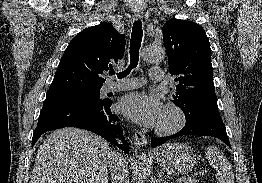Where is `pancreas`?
<instances>
[{
	"mask_svg": "<svg viewBox=\"0 0 262 183\" xmlns=\"http://www.w3.org/2000/svg\"><path fill=\"white\" fill-rule=\"evenodd\" d=\"M182 183H197V180H195V179H184V181H182Z\"/></svg>",
	"mask_w": 262,
	"mask_h": 183,
	"instance_id": "obj_1",
	"label": "pancreas"
}]
</instances>
